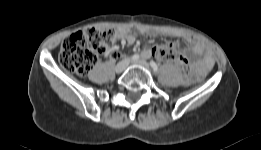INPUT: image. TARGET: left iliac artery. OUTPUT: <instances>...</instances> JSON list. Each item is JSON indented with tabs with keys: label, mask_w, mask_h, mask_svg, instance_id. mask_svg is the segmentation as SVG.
<instances>
[{
	"label": "left iliac artery",
	"mask_w": 261,
	"mask_h": 150,
	"mask_svg": "<svg viewBox=\"0 0 261 150\" xmlns=\"http://www.w3.org/2000/svg\"><path fill=\"white\" fill-rule=\"evenodd\" d=\"M150 66L152 67L154 72H157L158 65L154 61H150Z\"/></svg>",
	"instance_id": "1"
}]
</instances>
